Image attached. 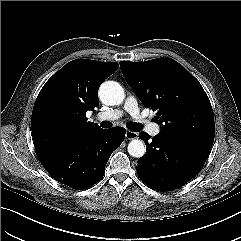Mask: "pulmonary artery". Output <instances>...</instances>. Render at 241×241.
<instances>
[{"label":"pulmonary artery","mask_w":241,"mask_h":241,"mask_svg":"<svg viewBox=\"0 0 241 241\" xmlns=\"http://www.w3.org/2000/svg\"><path fill=\"white\" fill-rule=\"evenodd\" d=\"M124 112H127L134 118L142 127L153 136L158 135L160 132V126L157 124L150 123L140 113L138 102L134 96H128L124 102L123 109H116L112 111L102 112L98 115L99 119L102 120H116L120 118Z\"/></svg>","instance_id":"1"}]
</instances>
